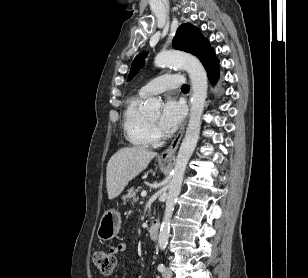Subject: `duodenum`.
<instances>
[{
	"label": "duodenum",
	"instance_id": "obj_1",
	"mask_svg": "<svg viewBox=\"0 0 308 278\" xmlns=\"http://www.w3.org/2000/svg\"><path fill=\"white\" fill-rule=\"evenodd\" d=\"M149 237L151 240L155 241L157 240L159 236V224L157 221H153L148 229Z\"/></svg>",
	"mask_w": 308,
	"mask_h": 278
}]
</instances>
